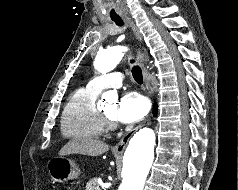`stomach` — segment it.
<instances>
[{
    "mask_svg": "<svg viewBox=\"0 0 238 190\" xmlns=\"http://www.w3.org/2000/svg\"><path fill=\"white\" fill-rule=\"evenodd\" d=\"M47 169L51 179L59 183L77 179L80 175V169L75 161L62 156L49 160Z\"/></svg>",
    "mask_w": 238,
    "mask_h": 190,
    "instance_id": "0dacf381",
    "label": "stomach"
}]
</instances>
